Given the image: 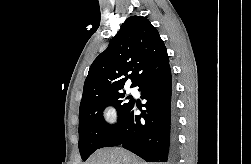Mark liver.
Wrapping results in <instances>:
<instances>
[{
    "mask_svg": "<svg viewBox=\"0 0 251 164\" xmlns=\"http://www.w3.org/2000/svg\"><path fill=\"white\" fill-rule=\"evenodd\" d=\"M85 164H147L136 155L120 148H103L91 155Z\"/></svg>",
    "mask_w": 251,
    "mask_h": 164,
    "instance_id": "1",
    "label": "liver"
}]
</instances>
